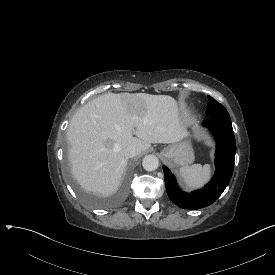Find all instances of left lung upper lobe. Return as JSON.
<instances>
[{
	"instance_id": "left-lung-upper-lobe-1",
	"label": "left lung upper lobe",
	"mask_w": 275,
	"mask_h": 275,
	"mask_svg": "<svg viewBox=\"0 0 275 275\" xmlns=\"http://www.w3.org/2000/svg\"><path fill=\"white\" fill-rule=\"evenodd\" d=\"M208 100L209 101L206 110V114L208 117L221 118L227 121H231L227 110L220 103H218L210 96H208Z\"/></svg>"
}]
</instances>
